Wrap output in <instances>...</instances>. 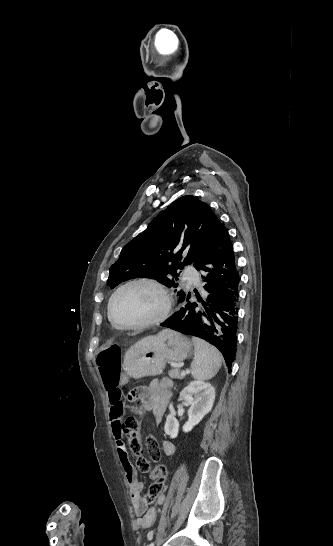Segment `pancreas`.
Returning a JSON list of instances; mask_svg holds the SVG:
<instances>
[{"label": "pancreas", "instance_id": "1", "mask_svg": "<svg viewBox=\"0 0 333 546\" xmlns=\"http://www.w3.org/2000/svg\"><path fill=\"white\" fill-rule=\"evenodd\" d=\"M169 376L170 378L172 379H183L184 377L180 374V370L179 368H172L170 371H169Z\"/></svg>", "mask_w": 333, "mask_h": 546}]
</instances>
